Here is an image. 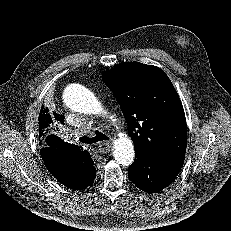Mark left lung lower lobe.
Segmentation results:
<instances>
[{
    "mask_svg": "<svg viewBox=\"0 0 231 231\" xmlns=\"http://www.w3.org/2000/svg\"><path fill=\"white\" fill-rule=\"evenodd\" d=\"M183 162L184 159L167 160L139 150L128 169V176L139 189L147 193H158L173 182Z\"/></svg>",
    "mask_w": 231,
    "mask_h": 231,
    "instance_id": "1",
    "label": "left lung lower lobe"
}]
</instances>
